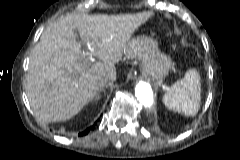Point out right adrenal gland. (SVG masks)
<instances>
[{
  "mask_svg": "<svg viewBox=\"0 0 240 160\" xmlns=\"http://www.w3.org/2000/svg\"><path fill=\"white\" fill-rule=\"evenodd\" d=\"M104 91V88H100V90L98 91L97 95L95 96V98L93 99V101L99 100L100 99V93Z\"/></svg>",
  "mask_w": 240,
  "mask_h": 160,
  "instance_id": "2a0ac1e0",
  "label": "right adrenal gland"
}]
</instances>
